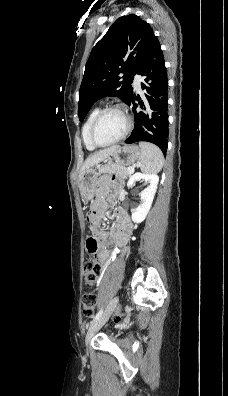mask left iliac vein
Masks as SVG:
<instances>
[{
    "label": "left iliac vein",
    "instance_id": "left-iliac-vein-1",
    "mask_svg": "<svg viewBox=\"0 0 228 396\" xmlns=\"http://www.w3.org/2000/svg\"><path fill=\"white\" fill-rule=\"evenodd\" d=\"M118 301H119L118 296L114 297L110 301V303L107 306V308L104 311V313H102V315L90 325V327L88 329V332H87V334L85 336V344H86V346L89 345L92 337L96 334V332L108 321V319L110 318L111 314L113 313V311L117 307Z\"/></svg>",
    "mask_w": 228,
    "mask_h": 396
}]
</instances>
